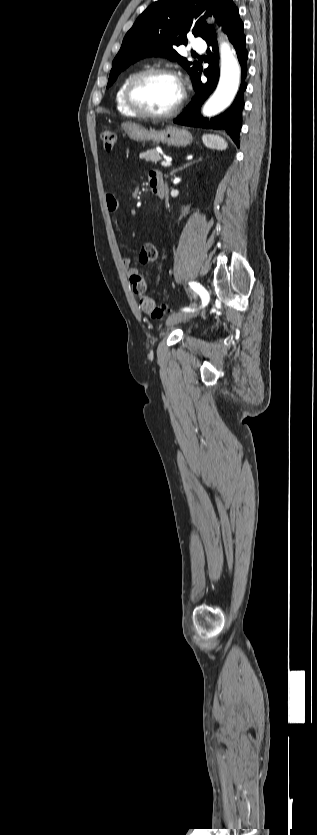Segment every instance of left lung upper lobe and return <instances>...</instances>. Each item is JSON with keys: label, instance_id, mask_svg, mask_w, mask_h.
Wrapping results in <instances>:
<instances>
[{"label": "left lung upper lobe", "instance_id": "1", "mask_svg": "<svg viewBox=\"0 0 317 835\" xmlns=\"http://www.w3.org/2000/svg\"><path fill=\"white\" fill-rule=\"evenodd\" d=\"M228 1L160 0L153 3L125 35L121 49L113 60L107 88L128 66L149 56L177 60L192 78L199 64L181 57L174 47L187 44V33L201 36L206 41L213 36L214 30L206 24V16H198L206 10V14H213L218 24L224 26L227 21L224 9Z\"/></svg>", "mask_w": 317, "mask_h": 835}]
</instances>
